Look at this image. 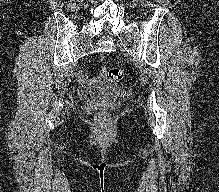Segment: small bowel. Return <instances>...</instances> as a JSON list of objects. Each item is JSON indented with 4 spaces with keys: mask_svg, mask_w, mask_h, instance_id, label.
Masks as SVG:
<instances>
[{
    "mask_svg": "<svg viewBox=\"0 0 219 192\" xmlns=\"http://www.w3.org/2000/svg\"><path fill=\"white\" fill-rule=\"evenodd\" d=\"M102 78H103V73H100L99 75L95 76L92 80L96 81V80H100ZM79 79L82 80V81H86L87 80L86 76L83 73H80Z\"/></svg>",
    "mask_w": 219,
    "mask_h": 192,
    "instance_id": "c3829d8e",
    "label": "small bowel"
}]
</instances>
